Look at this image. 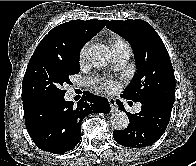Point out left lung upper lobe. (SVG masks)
Instances as JSON below:
<instances>
[{"mask_svg":"<svg viewBox=\"0 0 196 166\" xmlns=\"http://www.w3.org/2000/svg\"><path fill=\"white\" fill-rule=\"evenodd\" d=\"M124 37L132 46L137 74L122 96L139 102L157 98L175 101V76L167 49L153 27L140 19L112 20L106 26Z\"/></svg>","mask_w":196,"mask_h":166,"instance_id":"5c2ea615","label":"left lung upper lobe"}]
</instances>
